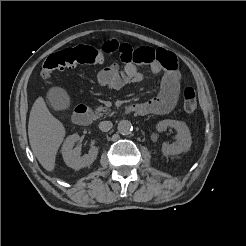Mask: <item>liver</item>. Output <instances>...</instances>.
I'll return each mask as SVG.
<instances>
[{"label":"liver","mask_w":246,"mask_h":246,"mask_svg":"<svg viewBox=\"0 0 246 246\" xmlns=\"http://www.w3.org/2000/svg\"><path fill=\"white\" fill-rule=\"evenodd\" d=\"M65 134L64 125L50 113L44 99L38 97L30 111L28 136L34 155L49 172L55 168L56 154Z\"/></svg>","instance_id":"1"}]
</instances>
